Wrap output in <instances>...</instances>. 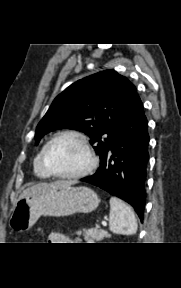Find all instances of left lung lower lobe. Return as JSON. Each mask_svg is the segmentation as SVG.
<instances>
[{
  "label": "left lung lower lobe",
  "mask_w": 181,
  "mask_h": 288,
  "mask_svg": "<svg viewBox=\"0 0 181 288\" xmlns=\"http://www.w3.org/2000/svg\"><path fill=\"white\" fill-rule=\"evenodd\" d=\"M148 122L137 95L95 174L82 178L129 203L143 220L148 154Z\"/></svg>",
  "instance_id": "left-lung-lower-lobe-1"
}]
</instances>
